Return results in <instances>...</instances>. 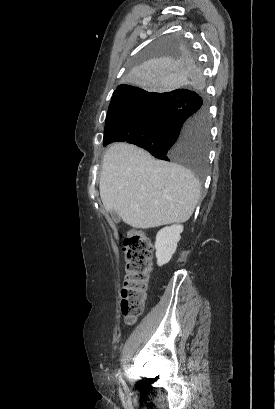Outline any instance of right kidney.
<instances>
[{"mask_svg": "<svg viewBox=\"0 0 275 409\" xmlns=\"http://www.w3.org/2000/svg\"><path fill=\"white\" fill-rule=\"evenodd\" d=\"M180 233H183V225H172V227H164L156 235V259L158 267L166 265L172 259L177 249V243H179L181 237Z\"/></svg>", "mask_w": 275, "mask_h": 409, "instance_id": "obj_1", "label": "right kidney"}]
</instances>
